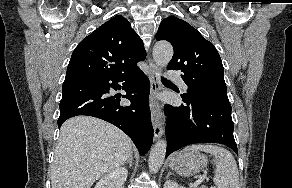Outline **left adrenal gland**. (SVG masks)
Here are the masks:
<instances>
[{"mask_svg": "<svg viewBox=\"0 0 292 188\" xmlns=\"http://www.w3.org/2000/svg\"><path fill=\"white\" fill-rule=\"evenodd\" d=\"M170 175H172V172H171V171L168 172L167 178H168Z\"/></svg>", "mask_w": 292, "mask_h": 188, "instance_id": "left-adrenal-gland-1", "label": "left adrenal gland"}]
</instances>
